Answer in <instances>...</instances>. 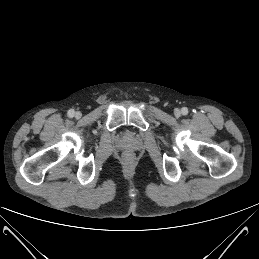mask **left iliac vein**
<instances>
[{
	"label": "left iliac vein",
	"mask_w": 259,
	"mask_h": 259,
	"mask_svg": "<svg viewBox=\"0 0 259 259\" xmlns=\"http://www.w3.org/2000/svg\"><path fill=\"white\" fill-rule=\"evenodd\" d=\"M174 114L176 117H179L181 115V111L179 109H175Z\"/></svg>",
	"instance_id": "4c4485c4"
}]
</instances>
